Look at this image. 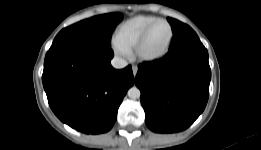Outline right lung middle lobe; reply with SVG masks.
<instances>
[{"label":"right lung middle lobe","mask_w":261,"mask_h":150,"mask_svg":"<svg viewBox=\"0 0 261 150\" xmlns=\"http://www.w3.org/2000/svg\"><path fill=\"white\" fill-rule=\"evenodd\" d=\"M122 17L121 13H109L80 21L61 30L52 46L72 42L110 46L112 32Z\"/></svg>","instance_id":"dd1d6c3e"}]
</instances>
